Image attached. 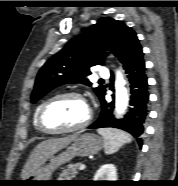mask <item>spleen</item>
Segmentation results:
<instances>
[{"mask_svg":"<svg viewBox=\"0 0 178 186\" xmlns=\"http://www.w3.org/2000/svg\"><path fill=\"white\" fill-rule=\"evenodd\" d=\"M98 133L103 137L104 151L108 155L117 152L124 144L132 141L128 133L118 129L100 128Z\"/></svg>","mask_w":178,"mask_h":186,"instance_id":"spleen-1","label":"spleen"}]
</instances>
